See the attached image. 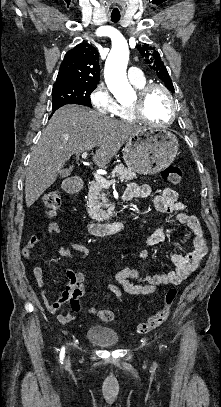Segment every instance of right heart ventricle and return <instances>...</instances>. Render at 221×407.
<instances>
[{"label":"right heart ventricle","instance_id":"1","mask_svg":"<svg viewBox=\"0 0 221 407\" xmlns=\"http://www.w3.org/2000/svg\"><path fill=\"white\" fill-rule=\"evenodd\" d=\"M145 85L146 81L139 84H134V86L138 89L142 88ZM114 114L117 118L123 121L132 122L136 120L131 110V104H119Z\"/></svg>","mask_w":221,"mask_h":407}]
</instances>
